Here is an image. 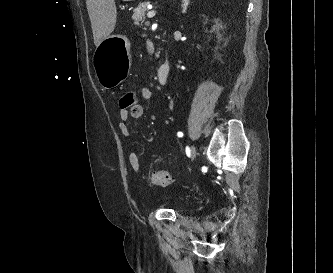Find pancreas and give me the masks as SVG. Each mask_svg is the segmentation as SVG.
I'll return each mask as SVG.
<instances>
[{"mask_svg":"<svg viewBox=\"0 0 333 273\" xmlns=\"http://www.w3.org/2000/svg\"><path fill=\"white\" fill-rule=\"evenodd\" d=\"M148 2H143L134 9L132 19L135 25H139V22L142 21L145 17V12L147 10ZM158 56V55H157Z\"/></svg>","mask_w":333,"mask_h":273,"instance_id":"obj_1","label":"pancreas"}]
</instances>
